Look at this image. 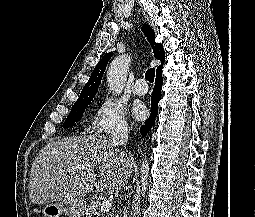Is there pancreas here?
Returning a JSON list of instances; mask_svg holds the SVG:
<instances>
[{
  "mask_svg": "<svg viewBox=\"0 0 255 217\" xmlns=\"http://www.w3.org/2000/svg\"><path fill=\"white\" fill-rule=\"evenodd\" d=\"M99 205L100 202L97 201H91V203L88 205V209L86 211V217H94L100 216V211H99ZM105 217H119L118 214H116L115 211H112L110 213H108L107 215H105Z\"/></svg>",
  "mask_w": 255,
  "mask_h": 217,
  "instance_id": "obj_1",
  "label": "pancreas"
}]
</instances>
